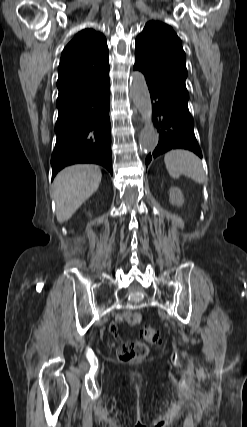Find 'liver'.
Here are the masks:
<instances>
[{
	"mask_svg": "<svg viewBox=\"0 0 247 427\" xmlns=\"http://www.w3.org/2000/svg\"><path fill=\"white\" fill-rule=\"evenodd\" d=\"M102 174L99 166L77 164L60 171L53 182V198L59 223L66 222L99 187Z\"/></svg>",
	"mask_w": 247,
	"mask_h": 427,
	"instance_id": "obj_1",
	"label": "liver"
}]
</instances>
